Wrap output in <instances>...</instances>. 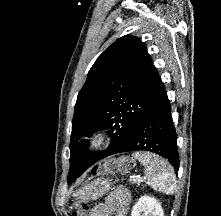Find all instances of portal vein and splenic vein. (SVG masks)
<instances>
[{
	"label": "portal vein and splenic vein",
	"mask_w": 221,
	"mask_h": 216,
	"mask_svg": "<svg viewBox=\"0 0 221 216\" xmlns=\"http://www.w3.org/2000/svg\"><path fill=\"white\" fill-rule=\"evenodd\" d=\"M141 181V179L140 178H135V179H133V182L135 183V182H140Z\"/></svg>",
	"instance_id": "1"
}]
</instances>
